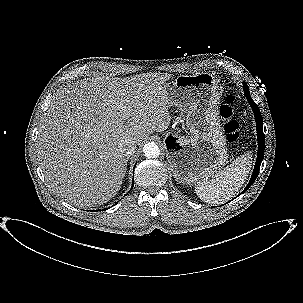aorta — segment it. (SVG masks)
I'll return each instance as SVG.
<instances>
[{
	"label": "aorta",
	"instance_id": "1",
	"mask_svg": "<svg viewBox=\"0 0 303 303\" xmlns=\"http://www.w3.org/2000/svg\"><path fill=\"white\" fill-rule=\"evenodd\" d=\"M143 152L146 158H157L160 155L159 146L155 142H148L143 147Z\"/></svg>",
	"mask_w": 303,
	"mask_h": 303
}]
</instances>
